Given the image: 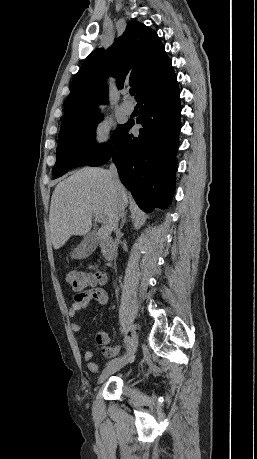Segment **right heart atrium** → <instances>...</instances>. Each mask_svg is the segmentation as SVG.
Segmentation results:
<instances>
[{
	"label": "right heart atrium",
	"instance_id": "obj_1",
	"mask_svg": "<svg viewBox=\"0 0 257 459\" xmlns=\"http://www.w3.org/2000/svg\"><path fill=\"white\" fill-rule=\"evenodd\" d=\"M112 137V125L105 120L97 122L89 135V141L93 149L104 150L110 146Z\"/></svg>",
	"mask_w": 257,
	"mask_h": 459
}]
</instances>
